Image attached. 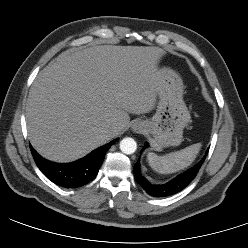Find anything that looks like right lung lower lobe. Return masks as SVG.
I'll list each match as a JSON object with an SVG mask.
<instances>
[{"label":"right lung lower lobe","instance_id":"98d812e1","mask_svg":"<svg viewBox=\"0 0 248 248\" xmlns=\"http://www.w3.org/2000/svg\"><path fill=\"white\" fill-rule=\"evenodd\" d=\"M117 140L95 149L78 161L67 164L50 162L42 158L31 146L30 149L38 168L48 179L62 187L77 188L95 179L106 151Z\"/></svg>","mask_w":248,"mask_h":248}]
</instances>
